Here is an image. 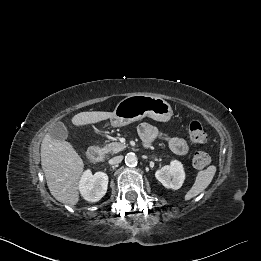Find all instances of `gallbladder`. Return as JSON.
Returning <instances> with one entry per match:
<instances>
[{"mask_svg": "<svg viewBox=\"0 0 261 261\" xmlns=\"http://www.w3.org/2000/svg\"><path fill=\"white\" fill-rule=\"evenodd\" d=\"M48 134L55 140L64 141L68 138V130L62 122L55 123Z\"/></svg>", "mask_w": 261, "mask_h": 261, "instance_id": "obj_1", "label": "gallbladder"}]
</instances>
